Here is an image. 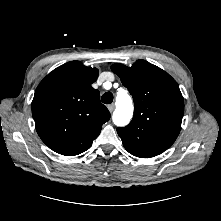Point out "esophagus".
<instances>
[{"label": "esophagus", "mask_w": 221, "mask_h": 221, "mask_svg": "<svg viewBox=\"0 0 221 221\" xmlns=\"http://www.w3.org/2000/svg\"><path fill=\"white\" fill-rule=\"evenodd\" d=\"M114 109H115V105H114V104L108 105V110H109L110 112H113Z\"/></svg>", "instance_id": "esophagus-1"}]
</instances>
